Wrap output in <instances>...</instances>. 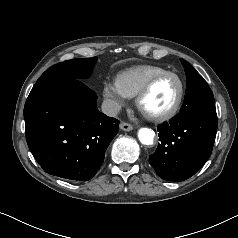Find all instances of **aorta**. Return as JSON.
<instances>
[{"label":"aorta","instance_id":"aorta-1","mask_svg":"<svg viewBox=\"0 0 238 238\" xmlns=\"http://www.w3.org/2000/svg\"><path fill=\"white\" fill-rule=\"evenodd\" d=\"M154 137H155V132L150 128L143 127V128H140L138 131L139 141L144 145L153 144Z\"/></svg>","mask_w":238,"mask_h":238}]
</instances>
